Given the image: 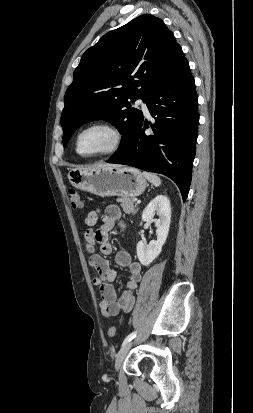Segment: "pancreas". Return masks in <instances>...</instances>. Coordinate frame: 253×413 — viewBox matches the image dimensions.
Listing matches in <instances>:
<instances>
[{
    "instance_id": "obj_1",
    "label": "pancreas",
    "mask_w": 253,
    "mask_h": 413,
    "mask_svg": "<svg viewBox=\"0 0 253 413\" xmlns=\"http://www.w3.org/2000/svg\"><path fill=\"white\" fill-rule=\"evenodd\" d=\"M117 202L120 203L123 211L126 214H131V213H135L136 210V205H134V199L133 198H128V197H122V198H118Z\"/></svg>"
}]
</instances>
